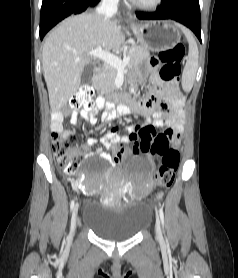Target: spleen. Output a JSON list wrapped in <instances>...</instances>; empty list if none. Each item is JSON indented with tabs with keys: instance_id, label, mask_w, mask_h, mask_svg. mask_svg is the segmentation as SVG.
<instances>
[{
	"instance_id": "spleen-1",
	"label": "spleen",
	"mask_w": 238,
	"mask_h": 278,
	"mask_svg": "<svg viewBox=\"0 0 238 278\" xmlns=\"http://www.w3.org/2000/svg\"><path fill=\"white\" fill-rule=\"evenodd\" d=\"M184 33L188 43L189 52L186 65L182 73V87L184 91L189 92L195 81L196 72L198 69V47L191 31L181 25H178Z\"/></svg>"
}]
</instances>
